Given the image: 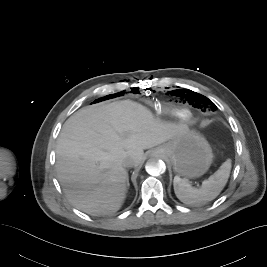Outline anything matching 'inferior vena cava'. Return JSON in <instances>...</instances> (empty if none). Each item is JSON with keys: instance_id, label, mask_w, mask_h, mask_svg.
<instances>
[{"instance_id": "602c4592", "label": "inferior vena cava", "mask_w": 267, "mask_h": 267, "mask_svg": "<svg viewBox=\"0 0 267 267\" xmlns=\"http://www.w3.org/2000/svg\"><path fill=\"white\" fill-rule=\"evenodd\" d=\"M124 167H133L134 162L131 159H125L123 162Z\"/></svg>"}]
</instances>
